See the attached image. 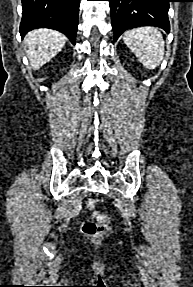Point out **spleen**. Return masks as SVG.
Instances as JSON below:
<instances>
[{"instance_id":"1","label":"spleen","mask_w":193,"mask_h":287,"mask_svg":"<svg viewBox=\"0 0 193 287\" xmlns=\"http://www.w3.org/2000/svg\"><path fill=\"white\" fill-rule=\"evenodd\" d=\"M124 43L147 69L156 68L164 57L162 34L154 27H139L123 35Z\"/></svg>"}]
</instances>
